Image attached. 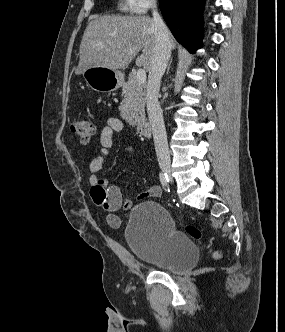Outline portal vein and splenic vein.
<instances>
[{"label":"portal vein and splenic vein","instance_id":"obj_1","mask_svg":"<svg viewBox=\"0 0 285 332\" xmlns=\"http://www.w3.org/2000/svg\"><path fill=\"white\" fill-rule=\"evenodd\" d=\"M137 81L139 84H144L146 82V72L144 69H138L137 74Z\"/></svg>","mask_w":285,"mask_h":332}]
</instances>
